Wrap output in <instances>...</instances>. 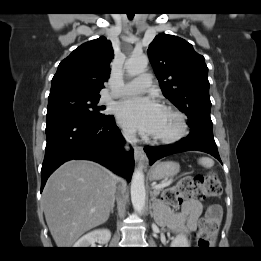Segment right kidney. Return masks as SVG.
Listing matches in <instances>:
<instances>
[{
  "label": "right kidney",
  "instance_id": "obj_1",
  "mask_svg": "<svg viewBox=\"0 0 261 261\" xmlns=\"http://www.w3.org/2000/svg\"><path fill=\"white\" fill-rule=\"evenodd\" d=\"M111 238V232L107 229H99L89 232L88 234L82 236L75 244L74 248H88L94 247L95 242L100 240L102 243H107Z\"/></svg>",
  "mask_w": 261,
  "mask_h": 261
}]
</instances>
